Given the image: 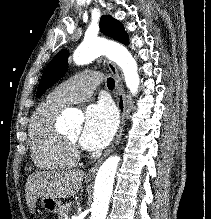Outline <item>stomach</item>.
I'll return each mask as SVG.
<instances>
[{
  "label": "stomach",
  "mask_w": 211,
  "mask_h": 219,
  "mask_svg": "<svg viewBox=\"0 0 211 219\" xmlns=\"http://www.w3.org/2000/svg\"><path fill=\"white\" fill-rule=\"evenodd\" d=\"M39 199L40 205L45 211L57 214L61 210L62 206L60 200L48 196H41Z\"/></svg>",
  "instance_id": "0dacf381"
}]
</instances>
